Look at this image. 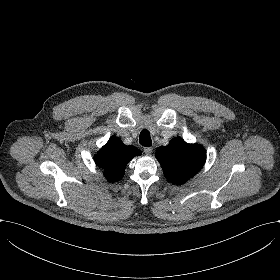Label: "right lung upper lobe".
Wrapping results in <instances>:
<instances>
[{
	"instance_id": "cb5924a9",
	"label": "right lung upper lobe",
	"mask_w": 280,
	"mask_h": 280,
	"mask_svg": "<svg viewBox=\"0 0 280 280\" xmlns=\"http://www.w3.org/2000/svg\"><path fill=\"white\" fill-rule=\"evenodd\" d=\"M141 151L134 146H126L122 141L113 136L108 143L95 155V162L104 171L110 182L122 179L124 169L128 162Z\"/></svg>"
}]
</instances>
